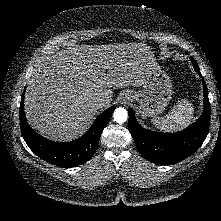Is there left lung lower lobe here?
Returning a JSON list of instances; mask_svg holds the SVG:
<instances>
[{"mask_svg": "<svg viewBox=\"0 0 221 221\" xmlns=\"http://www.w3.org/2000/svg\"><path fill=\"white\" fill-rule=\"evenodd\" d=\"M195 70L201 76L200 69ZM203 88L202 116L193 125L179 132L161 133L144 129L137 122L134 111L128 110L129 131L144 158L156 164L172 165L192 155L203 144L210 125V103L204 80Z\"/></svg>", "mask_w": 221, "mask_h": 221, "instance_id": "left-lung-lower-lobe-1", "label": "left lung lower lobe"}]
</instances>
